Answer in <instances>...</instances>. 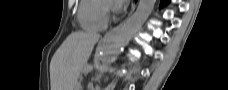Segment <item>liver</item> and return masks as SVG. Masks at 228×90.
Returning <instances> with one entry per match:
<instances>
[{
    "label": "liver",
    "mask_w": 228,
    "mask_h": 90,
    "mask_svg": "<svg viewBox=\"0 0 228 90\" xmlns=\"http://www.w3.org/2000/svg\"><path fill=\"white\" fill-rule=\"evenodd\" d=\"M99 34L71 33L55 52L50 63L51 90H75Z\"/></svg>",
    "instance_id": "obj_1"
}]
</instances>
